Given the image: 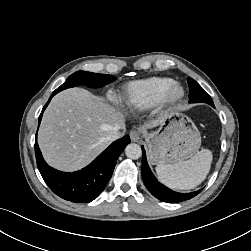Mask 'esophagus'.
I'll return each mask as SVG.
<instances>
[{
  "instance_id": "34e87169",
  "label": "esophagus",
  "mask_w": 251,
  "mask_h": 251,
  "mask_svg": "<svg viewBox=\"0 0 251 251\" xmlns=\"http://www.w3.org/2000/svg\"><path fill=\"white\" fill-rule=\"evenodd\" d=\"M140 137H141V134L139 131L134 130L130 132V138L133 142L139 141Z\"/></svg>"
}]
</instances>
